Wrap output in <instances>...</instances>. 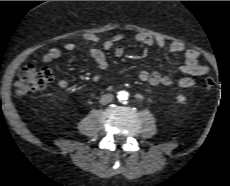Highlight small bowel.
<instances>
[{
  "label": "small bowel",
  "mask_w": 230,
  "mask_h": 186,
  "mask_svg": "<svg viewBox=\"0 0 230 186\" xmlns=\"http://www.w3.org/2000/svg\"><path fill=\"white\" fill-rule=\"evenodd\" d=\"M121 39V35H117L115 37L106 38L99 34H89L85 36L84 41L88 43H101L104 50L112 49L115 43ZM136 40L140 43H143L148 46H158L160 48L164 47L165 41L163 39H154L153 37L145 34H137ZM76 43H66L64 45V49L67 51H72L76 49ZM169 50L171 53L178 54L183 53L184 63L175 69L185 77L181 78L178 82V85L181 88H192L195 84L193 79L194 76L205 75L210 69L208 66L200 63V52L196 49H186L185 45L176 41L173 42ZM90 56L95 61L96 65L99 69L105 71L108 69V60L104 51L97 47H91L89 49ZM61 51L57 48H50L42 57V60L45 63H50L61 57ZM114 55L116 57H122L124 55V49L121 46L115 47ZM138 79L142 82H147L152 86H168L171 84V79L167 75H163L157 71L149 72L146 70L140 71L138 74ZM57 86L61 89H66L69 86V83L65 79H60L57 82Z\"/></svg>",
  "instance_id": "small-bowel-1"
}]
</instances>
